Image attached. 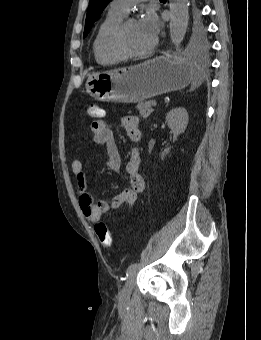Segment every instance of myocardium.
Instances as JSON below:
<instances>
[{"label":"myocardium","mask_w":261,"mask_h":340,"mask_svg":"<svg viewBox=\"0 0 261 340\" xmlns=\"http://www.w3.org/2000/svg\"><path fill=\"white\" fill-rule=\"evenodd\" d=\"M137 22L134 17H124L120 22H118L110 31L107 37L106 45L110 53L117 56L120 59H128L144 56L150 53L157 44V39L154 38L152 43L145 49L137 52H129L121 44L122 35L125 29L132 23Z\"/></svg>","instance_id":"f54148a6"}]
</instances>
